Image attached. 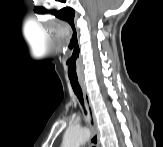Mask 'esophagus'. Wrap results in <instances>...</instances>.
Segmentation results:
<instances>
[{"label": "esophagus", "mask_w": 163, "mask_h": 147, "mask_svg": "<svg viewBox=\"0 0 163 147\" xmlns=\"http://www.w3.org/2000/svg\"><path fill=\"white\" fill-rule=\"evenodd\" d=\"M80 86L82 88L83 91V95H84V100L86 103V107L88 110V116H89V125L91 128V144L92 146H97L99 147L100 145V141H99V129H98V125H97V121H96V117L92 108V104H91V99L90 96L87 92L86 86L84 83H80Z\"/></svg>", "instance_id": "obj_1"}]
</instances>
